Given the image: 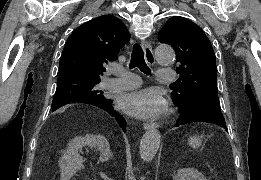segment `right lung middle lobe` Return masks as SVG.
Here are the masks:
<instances>
[{
	"label": "right lung middle lobe",
	"instance_id": "obj_1",
	"mask_svg": "<svg viewBox=\"0 0 261 180\" xmlns=\"http://www.w3.org/2000/svg\"><path fill=\"white\" fill-rule=\"evenodd\" d=\"M100 80H68L57 82L55 97L52 101V110L76 100L94 101L104 99L99 90Z\"/></svg>",
	"mask_w": 261,
	"mask_h": 180
}]
</instances>
